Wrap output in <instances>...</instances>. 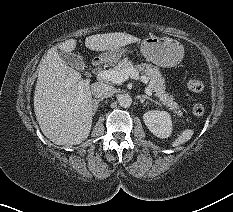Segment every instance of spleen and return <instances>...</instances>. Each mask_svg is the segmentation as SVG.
I'll return each instance as SVG.
<instances>
[{
  "label": "spleen",
  "mask_w": 233,
  "mask_h": 212,
  "mask_svg": "<svg viewBox=\"0 0 233 212\" xmlns=\"http://www.w3.org/2000/svg\"><path fill=\"white\" fill-rule=\"evenodd\" d=\"M194 134V131L192 129H185L182 131V133L175 139V141L172 143L173 147L179 146L181 144H184L187 142Z\"/></svg>",
  "instance_id": "1"
}]
</instances>
